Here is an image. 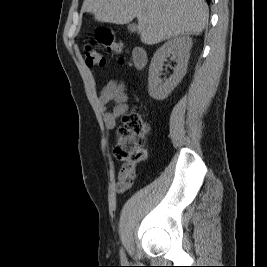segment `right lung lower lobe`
<instances>
[{
  "label": "right lung lower lobe",
  "mask_w": 267,
  "mask_h": 267,
  "mask_svg": "<svg viewBox=\"0 0 267 267\" xmlns=\"http://www.w3.org/2000/svg\"><path fill=\"white\" fill-rule=\"evenodd\" d=\"M206 1H207L208 4L210 3V0H206Z\"/></svg>",
  "instance_id": "right-lung-lower-lobe-1"
}]
</instances>
